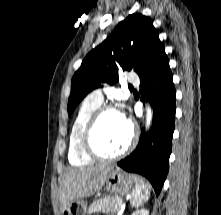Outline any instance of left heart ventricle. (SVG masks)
<instances>
[{
    "label": "left heart ventricle",
    "instance_id": "left-heart-ventricle-1",
    "mask_svg": "<svg viewBox=\"0 0 221 215\" xmlns=\"http://www.w3.org/2000/svg\"><path fill=\"white\" fill-rule=\"evenodd\" d=\"M130 128L119 112H108L99 121L93 137L95 147L103 154L120 152L128 143Z\"/></svg>",
    "mask_w": 221,
    "mask_h": 215
}]
</instances>
